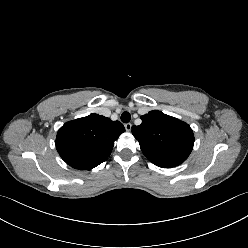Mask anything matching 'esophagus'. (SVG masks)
Masks as SVG:
<instances>
[{"instance_id":"1","label":"esophagus","mask_w":248,"mask_h":248,"mask_svg":"<svg viewBox=\"0 0 248 248\" xmlns=\"http://www.w3.org/2000/svg\"><path fill=\"white\" fill-rule=\"evenodd\" d=\"M124 127H125L126 131H130L131 130V127H132V124L131 123H126L124 125Z\"/></svg>"}]
</instances>
